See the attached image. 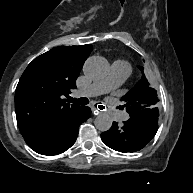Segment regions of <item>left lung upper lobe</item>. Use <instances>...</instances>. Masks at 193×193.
<instances>
[{
    "mask_svg": "<svg viewBox=\"0 0 193 193\" xmlns=\"http://www.w3.org/2000/svg\"><path fill=\"white\" fill-rule=\"evenodd\" d=\"M139 68L143 74L141 81L121 99L126 103V110L130 115L145 109L150 112L158 111L159 99L156 90L149 85L143 73V67Z\"/></svg>",
    "mask_w": 193,
    "mask_h": 193,
    "instance_id": "1",
    "label": "left lung upper lobe"
}]
</instances>
